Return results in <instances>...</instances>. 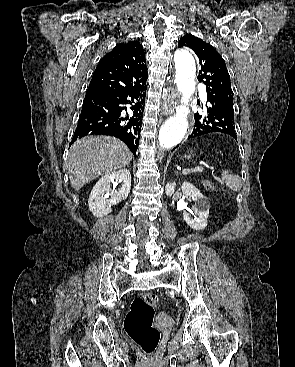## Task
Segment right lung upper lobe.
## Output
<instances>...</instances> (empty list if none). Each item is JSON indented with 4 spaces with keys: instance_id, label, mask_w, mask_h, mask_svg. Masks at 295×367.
<instances>
[{
    "instance_id": "obj_1",
    "label": "right lung upper lobe",
    "mask_w": 295,
    "mask_h": 367,
    "mask_svg": "<svg viewBox=\"0 0 295 367\" xmlns=\"http://www.w3.org/2000/svg\"><path fill=\"white\" fill-rule=\"evenodd\" d=\"M143 47L137 41L120 43L97 65L87 92H121L146 86Z\"/></svg>"
}]
</instances>
